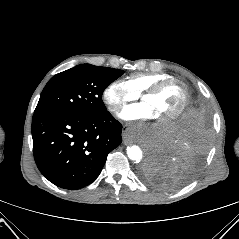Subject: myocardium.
I'll return each instance as SVG.
<instances>
[{
  "label": "myocardium",
  "instance_id": "1",
  "mask_svg": "<svg viewBox=\"0 0 239 239\" xmlns=\"http://www.w3.org/2000/svg\"><path fill=\"white\" fill-rule=\"evenodd\" d=\"M170 85H177L181 89L182 94H183V99H182V103H181V106L179 107V109L176 112H174L173 114L166 117L165 119L161 120L160 122H162V123H167V122L173 121V120L179 118L185 112V110L188 106L189 97H190L189 91H188V88L186 87V85L178 79L168 78V79L159 81L158 83L151 85L150 87L145 89L140 95V98L143 99L146 96L155 95V94L159 93L164 88H166L167 86H170Z\"/></svg>",
  "mask_w": 239,
  "mask_h": 239
}]
</instances>
